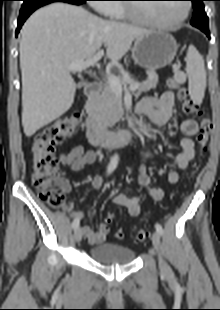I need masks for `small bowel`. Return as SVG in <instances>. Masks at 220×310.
<instances>
[{
	"label": "small bowel",
	"instance_id": "small-bowel-1",
	"mask_svg": "<svg viewBox=\"0 0 220 310\" xmlns=\"http://www.w3.org/2000/svg\"><path fill=\"white\" fill-rule=\"evenodd\" d=\"M174 104V92L166 91L159 98H143L137 104L136 110L138 114L145 116L152 124L158 126L162 130H165L167 124L172 118ZM181 130L185 136L181 138L179 142L181 151L175 157L177 170H173L168 173V181L171 184H176L179 182V172L186 170L189 163L195 157V143L193 136L198 132L197 121L194 119H185L181 123ZM142 157L143 161L153 158L150 148H145L142 150ZM96 159L97 155L94 151L85 150L81 145L74 146L70 151L62 153L59 156L60 163L66 167H69L72 171H79L86 165L95 163ZM137 182L141 187L147 190L153 200L159 201L163 198L164 190L160 187H152L150 185V178L146 173L144 163H142L138 168ZM91 183L94 188L100 189L103 185V179L96 175L91 178ZM66 190L70 191V188L66 186ZM112 201L114 204L124 207L131 216H137L140 213L141 198L138 196L130 197L123 193H117L113 195ZM70 216L74 220L77 218L81 220L84 217V213L80 211L71 212ZM81 229L90 244L103 243L109 232V228L105 223L99 224L97 231H94L88 225L82 226Z\"/></svg>",
	"mask_w": 220,
	"mask_h": 310
}]
</instances>
